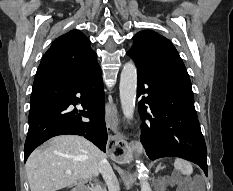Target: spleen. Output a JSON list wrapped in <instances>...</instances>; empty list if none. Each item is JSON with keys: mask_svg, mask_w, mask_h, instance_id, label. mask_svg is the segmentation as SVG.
<instances>
[{"mask_svg": "<svg viewBox=\"0 0 233 191\" xmlns=\"http://www.w3.org/2000/svg\"><path fill=\"white\" fill-rule=\"evenodd\" d=\"M174 168L186 176H190L193 172V167L190 162L180 158L175 159Z\"/></svg>", "mask_w": 233, "mask_h": 191, "instance_id": "1", "label": "spleen"}]
</instances>
